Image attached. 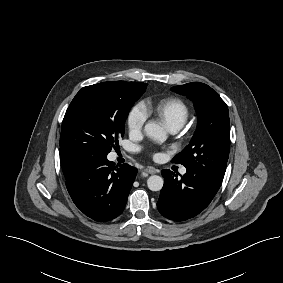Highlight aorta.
Wrapping results in <instances>:
<instances>
[{
	"label": "aorta",
	"mask_w": 283,
	"mask_h": 283,
	"mask_svg": "<svg viewBox=\"0 0 283 283\" xmlns=\"http://www.w3.org/2000/svg\"><path fill=\"white\" fill-rule=\"evenodd\" d=\"M144 131L149 138L156 142L163 143L167 139L166 131L155 122H148ZM163 183V178L158 175H152L147 179V186L151 191H160Z\"/></svg>",
	"instance_id": "762f6f07"
}]
</instances>
